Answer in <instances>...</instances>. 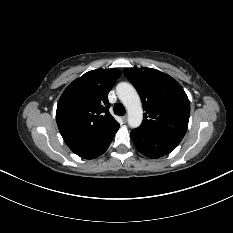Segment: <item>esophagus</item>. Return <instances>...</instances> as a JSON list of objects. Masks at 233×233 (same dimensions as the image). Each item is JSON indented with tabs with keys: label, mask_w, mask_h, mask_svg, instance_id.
<instances>
[{
	"label": "esophagus",
	"mask_w": 233,
	"mask_h": 233,
	"mask_svg": "<svg viewBox=\"0 0 233 233\" xmlns=\"http://www.w3.org/2000/svg\"><path fill=\"white\" fill-rule=\"evenodd\" d=\"M127 118H128L127 115H124V116L122 117V119H123L124 122L127 121Z\"/></svg>",
	"instance_id": "obj_1"
}]
</instances>
